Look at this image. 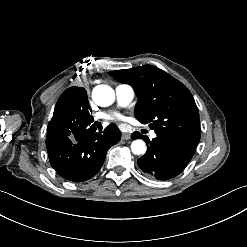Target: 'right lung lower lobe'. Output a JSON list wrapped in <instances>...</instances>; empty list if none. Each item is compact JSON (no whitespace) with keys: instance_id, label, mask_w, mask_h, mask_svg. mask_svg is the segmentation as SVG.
<instances>
[{"instance_id":"right-lung-lower-lobe-1","label":"right lung lower lobe","mask_w":247,"mask_h":247,"mask_svg":"<svg viewBox=\"0 0 247 247\" xmlns=\"http://www.w3.org/2000/svg\"><path fill=\"white\" fill-rule=\"evenodd\" d=\"M91 115L77 117L62 136L47 134L50 164L64 179L83 182L95 176L103 165L107 150L119 142L121 132L111 124L102 130Z\"/></svg>"}]
</instances>
